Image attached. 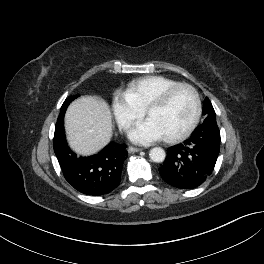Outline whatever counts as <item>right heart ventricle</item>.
<instances>
[{
    "label": "right heart ventricle",
    "mask_w": 264,
    "mask_h": 264,
    "mask_svg": "<svg viewBox=\"0 0 264 264\" xmlns=\"http://www.w3.org/2000/svg\"><path fill=\"white\" fill-rule=\"evenodd\" d=\"M178 83L180 82L162 75L145 76L132 81L126 95L139 108L145 110L165 89Z\"/></svg>",
    "instance_id": "e07e8e85"
}]
</instances>
